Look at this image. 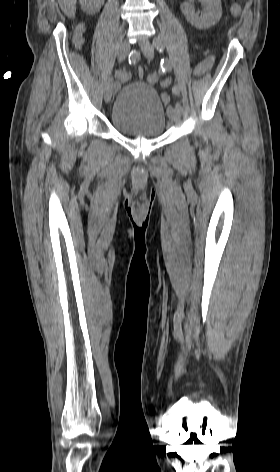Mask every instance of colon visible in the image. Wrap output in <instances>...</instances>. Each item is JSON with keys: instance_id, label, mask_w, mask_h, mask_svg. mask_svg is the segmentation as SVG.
Segmentation results:
<instances>
[{"instance_id": "obj_1", "label": "colon", "mask_w": 280, "mask_h": 472, "mask_svg": "<svg viewBox=\"0 0 280 472\" xmlns=\"http://www.w3.org/2000/svg\"><path fill=\"white\" fill-rule=\"evenodd\" d=\"M240 11H241V3H240V1H237L232 5L231 13L234 16H237V15H239ZM158 80H159V76L156 73H151L147 76V81L150 84H155Z\"/></svg>"}]
</instances>
